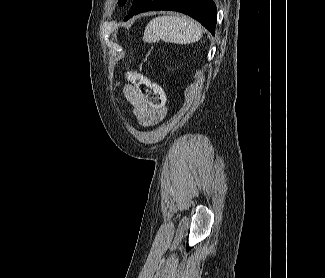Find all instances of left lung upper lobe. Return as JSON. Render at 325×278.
<instances>
[{"instance_id":"5c2ea615","label":"left lung upper lobe","mask_w":325,"mask_h":278,"mask_svg":"<svg viewBox=\"0 0 325 278\" xmlns=\"http://www.w3.org/2000/svg\"><path fill=\"white\" fill-rule=\"evenodd\" d=\"M126 3V0H119L118 1V5L122 6Z\"/></svg>"}]
</instances>
